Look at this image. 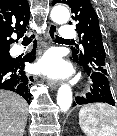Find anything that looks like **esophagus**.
<instances>
[{"label":"esophagus","mask_w":117,"mask_h":136,"mask_svg":"<svg viewBox=\"0 0 117 136\" xmlns=\"http://www.w3.org/2000/svg\"><path fill=\"white\" fill-rule=\"evenodd\" d=\"M56 34H57V27L55 24L51 23L48 27V32H47L48 38L50 40H53ZM47 84H48V87L52 90H56L59 85L58 81L52 80V79H49L47 81Z\"/></svg>","instance_id":"obj_1"}]
</instances>
